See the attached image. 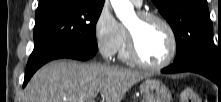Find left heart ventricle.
Returning <instances> with one entry per match:
<instances>
[{
    "label": "left heart ventricle",
    "instance_id": "obj_1",
    "mask_svg": "<svg viewBox=\"0 0 221 102\" xmlns=\"http://www.w3.org/2000/svg\"><path fill=\"white\" fill-rule=\"evenodd\" d=\"M134 34L138 51L149 63H160L169 55L171 41L167 30L156 21H140L137 15L127 24Z\"/></svg>",
    "mask_w": 221,
    "mask_h": 102
}]
</instances>
